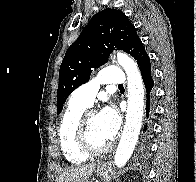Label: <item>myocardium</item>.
Segmentation results:
<instances>
[{"mask_svg":"<svg viewBox=\"0 0 196 182\" xmlns=\"http://www.w3.org/2000/svg\"><path fill=\"white\" fill-rule=\"evenodd\" d=\"M96 114L93 109L85 110L79 117L74 131V141L77 149L86 156H98L107 153L112 145L108 143L101 148H93L87 141V121L91 115Z\"/></svg>","mask_w":196,"mask_h":182,"instance_id":"obj_1","label":"myocardium"}]
</instances>
